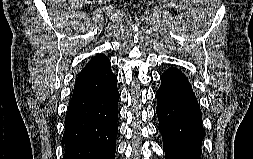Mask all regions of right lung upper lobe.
Masks as SVG:
<instances>
[{
    "mask_svg": "<svg viewBox=\"0 0 253 159\" xmlns=\"http://www.w3.org/2000/svg\"><path fill=\"white\" fill-rule=\"evenodd\" d=\"M109 63L110 62L105 55L97 54L82 69V71L79 73V75L77 77V80L82 77H85L87 75H90L92 73L99 71L100 69L107 66Z\"/></svg>",
    "mask_w": 253,
    "mask_h": 159,
    "instance_id": "obj_1",
    "label": "right lung upper lobe"
}]
</instances>
